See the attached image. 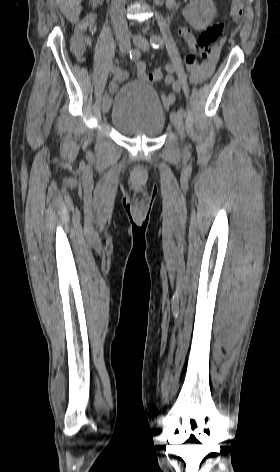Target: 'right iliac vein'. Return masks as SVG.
Returning a JSON list of instances; mask_svg holds the SVG:
<instances>
[{"instance_id": "63e3f726", "label": "right iliac vein", "mask_w": 280, "mask_h": 472, "mask_svg": "<svg viewBox=\"0 0 280 472\" xmlns=\"http://www.w3.org/2000/svg\"><path fill=\"white\" fill-rule=\"evenodd\" d=\"M119 48L122 53H128L130 50V39L127 36H121L118 39ZM111 106V98L109 94H105L102 101V112L107 113Z\"/></svg>"}]
</instances>
